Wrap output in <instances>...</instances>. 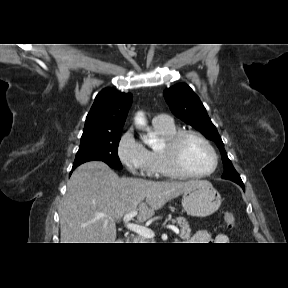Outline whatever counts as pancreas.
<instances>
[{
  "label": "pancreas",
  "mask_w": 288,
  "mask_h": 288,
  "mask_svg": "<svg viewBox=\"0 0 288 288\" xmlns=\"http://www.w3.org/2000/svg\"><path fill=\"white\" fill-rule=\"evenodd\" d=\"M173 223H176L181 228L180 237L183 240H188L191 236V229L188 222L184 217H178L175 220H172ZM148 239L142 236H137L135 238V243H148Z\"/></svg>",
  "instance_id": "cf45deb5"
}]
</instances>
